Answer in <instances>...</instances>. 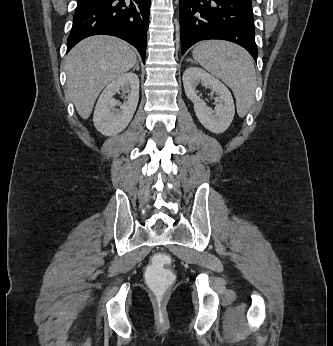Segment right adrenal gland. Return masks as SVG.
Listing matches in <instances>:
<instances>
[{
    "mask_svg": "<svg viewBox=\"0 0 333 346\" xmlns=\"http://www.w3.org/2000/svg\"><path fill=\"white\" fill-rule=\"evenodd\" d=\"M139 65H138V63H136V65L134 66V68H133V70H137V71H139Z\"/></svg>",
    "mask_w": 333,
    "mask_h": 346,
    "instance_id": "2a0ac1e0",
    "label": "right adrenal gland"
}]
</instances>
